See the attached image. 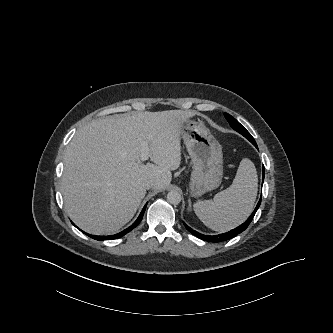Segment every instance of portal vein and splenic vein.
I'll return each mask as SVG.
<instances>
[{
    "label": "portal vein and splenic vein",
    "mask_w": 333,
    "mask_h": 333,
    "mask_svg": "<svg viewBox=\"0 0 333 333\" xmlns=\"http://www.w3.org/2000/svg\"><path fill=\"white\" fill-rule=\"evenodd\" d=\"M150 157V153H149V147L147 143H143L141 146V156L140 159L142 161H146L148 160Z\"/></svg>",
    "instance_id": "obj_1"
}]
</instances>
